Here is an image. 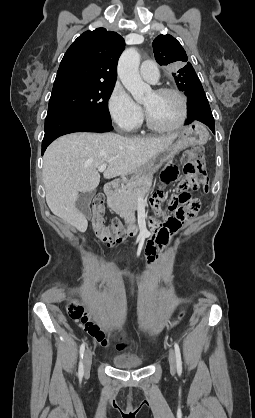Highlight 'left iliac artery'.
<instances>
[{
	"label": "left iliac artery",
	"instance_id": "obj_1",
	"mask_svg": "<svg viewBox=\"0 0 255 418\" xmlns=\"http://www.w3.org/2000/svg\"><path fill=\"white\" fill-rule=\"evenodd\" d=\"M175 355H176V364H177V372L181 374L182 372V360H181V353L178 343H174Z\"/></svg>",
	"mask_w": 255,
	"mask_h": 418
}]
</instances>
